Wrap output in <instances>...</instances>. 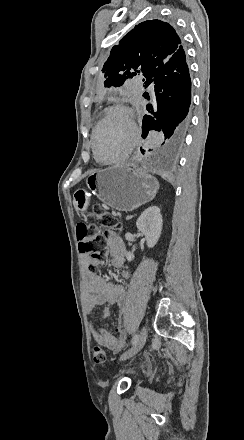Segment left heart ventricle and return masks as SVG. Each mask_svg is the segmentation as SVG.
<instances>
[{
	"label": "left heart ventricle",
	"mask_w": 244,
	"mask_h": 440,
	"mask_svg": "<svg viewBox=\"0 0 244 440\" xmlns=\"http://www.w3.org/2000/svg\"><path fill=\"white\" fill-rule=\"evenodd\" d=\"M107 120L96 142V150L102 158H109L122 139L135 131L131 116L127 113L112 111Z\"/></svg>",
	"instance_id": "left-heart-ventricle-1"
}]
</instances>
